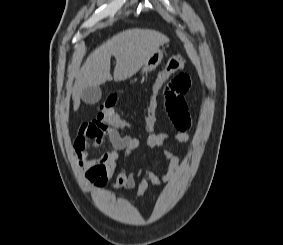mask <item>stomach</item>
<instances>
[{"mask_svg": "<svg viewBox=\"0 0 283 245\" xmlns=\"http://www.w3.org/2000/svg\"><path fill=\"white\" fill-rule=\"evenodd\" d=\"M162 59H163V51L158 49L151 55V57L141 67L142 75L148 74L151 71L155 70L156 67L161 63Z\"/></svg>", "mask_w": 283, "mask_h": 245, "instance_id": "1", "label": "stomach"}]
</instances>
